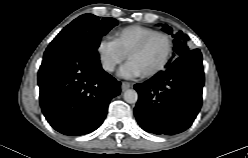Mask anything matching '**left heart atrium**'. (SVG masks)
I'll return each instance as SVG.
<instances>
[{
    "label": "left heart atrium",
    "instance_id": "39dd6f15",
    "mask_svg": "<svg viewBox=\"0 0 248 158\" xmlns=\"http://www.w3.org/2000/svg\"><path fill=\"white\" fill-rule=\"evenodd\" d=\"M143 73L139 67L129 59V61L119 70V76L126 79H133L141 76Z\"/></svg>",
    "mask_w": 248,
    "mask_h": 158
}]
</instances>
